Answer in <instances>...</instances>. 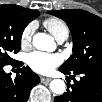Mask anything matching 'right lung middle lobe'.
<instances>
[{"instance_id": "obj_1", "label": "right lung middle lobe", "mask_w": 102, "mask_h": 102, "mask_svg": "<svg viewBox=\"0 0 102 102\" xmlns=\"http://www.w3.org/2000/svg\"><path fill=\"white\" fill-rule=\"evenodd\" d=\"M38 16L39 13L29 15L14 4L0 5V65H10L16 61L9 55L20 50L23 30Z\"/></svg>"}]
</instances>
